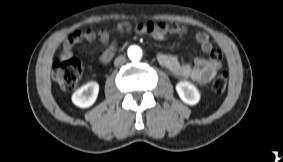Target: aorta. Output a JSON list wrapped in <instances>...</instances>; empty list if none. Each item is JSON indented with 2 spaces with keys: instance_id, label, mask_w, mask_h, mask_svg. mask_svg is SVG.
<instances>
[{
  "instance_id": "aorta-1",
  "label": "aorta",
  "mask_w": 283,
  "mask_h": 162,
  "mask_svg": "<svg viewBox=\"0 0 283 162\" xmlns=\"http://www.w3.org/2000/svg\"><path fill=\"white\" fill-rule=\"evenodd\" d=\"M128 57L133 61H138L142 57V50L138 46H131L128 49Z\"/></svg>"
}]
</instances>
